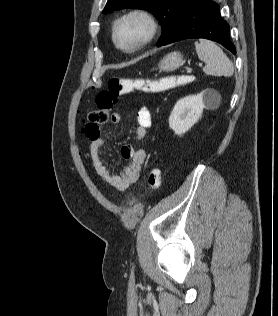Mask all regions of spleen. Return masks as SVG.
<instances>
[{
	"instance_id": "3e777b00",
	"label": "spleen",
	"mask_w": 278,
	"mask_h": 316,
	"mask_svg": "<svg viewBox=\"0 0 278 316\" xmlns=\"http://www.w3.org/2000/svg\"><path fill=\"white\" fill-rule=\"evenodd\" d=\"M195 48L199 59L206 63L203 71L207 75H233L234 67L232 61L214 42L201 39L199 43H195Z\"/></svg>"
}]
</instances>
